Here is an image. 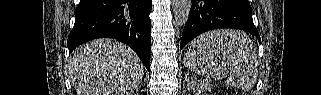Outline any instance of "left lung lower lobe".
I'll return each mask as SVG.
<instances>
[{"instance_id":"obj_1","label":"left lung lower lobe","mask_w":321,"mask_h":95,"mask_svg":"<svg viewBox=\"0 0 321 95\" xmlns=\"http://www.w3.org/2000/svg\"><path fill=\"white\" fill-rule=\"evenodd\" d=\"M218 28L244 30L260 40L248 0H192L180 50L199 34Z\"/></svg>"}]
</instances>
